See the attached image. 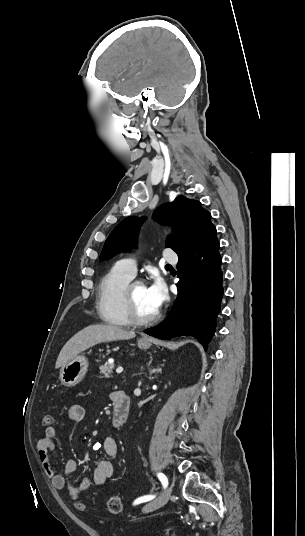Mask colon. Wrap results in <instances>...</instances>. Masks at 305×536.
Masks as SVG:
<instances>
[{
  "mask_svg": "<svg viewBox=\"0 0 305 536\" xmlns=\"http://www.w3.org/2000/svg\"><path fill=\"white\" fill-rule=\"evenodd\" d=\"M53 422V418L51 415L46 414L43 417V423L45 426H50ZM73 506L77 510L84 511L86 509V506L84 505L83 501L80 499H77L74 501ZM107 508L111 513H120L122 510V503L118 497L111 498L107 503Z\"/></svg>",
  "mask_w": 305,
  "mask_h": 536,
  "instance_id": "1",
  "label": "colon"
}]
</instances>
